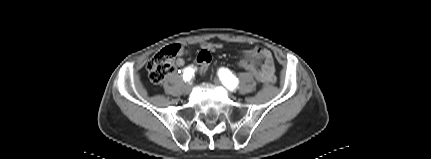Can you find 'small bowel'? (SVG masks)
<instances>
[{
	"label": "small bowel",
	"mask_w": 431,
	"mask_h": 159,
	"mask_svg": "<svg viewBox=\"0 0 431 159\" xmlns=\"http://www.w3.org/2000/svg\"><path fill=\"white\" fill-rule=\"evenodd\" d=\"M221 47L222 46L219 43L208 42L202 46V50L200 52H208L210 54V52H214ZM240 62L253 66L254 69L258 70V75H260L262 83H269L275 80V66L273 56L269 50L261 47L244 50L242 52V59ZM184 64L185 61L182 57L177 58L175 61V65L177 67H182ZM204 79L199 80L203 81Z\"/></svg>",
	"instance_id": "obj_1"
}]
</instances>
